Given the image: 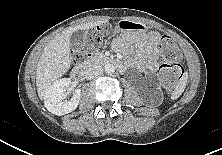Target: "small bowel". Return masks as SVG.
Segmentation results:
<instances>
[{
  "instance_id": "obj_1",
  "label": "small bowel",
  "mask_w": 222,
  "mask_h": 155,
  "mask_svg": "<svg viewBox=\"0 0 222 155\" xmlns=\"http://www.w3.org/2000/svg\"><path fill=\"white\" fill-rule=\"evenodd\" d=\"M157 44L158 35L153 34L151 41L146 45V47L140 49L136 60L133 61V64H135L140 70H144L146 68L155 70L158 67L156 62V56L158 54ZM114 47L116 49H124L126 44L123 40L118 39L114 42Z\"/></svg>"
}]
</instances>
